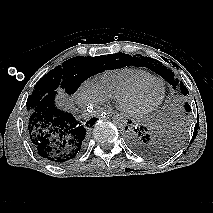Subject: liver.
<instances>
[{
  "mask_svg": "<svg viewBox=\"0 0 213 213\" xmlns=\"http://www.w3.org/2000/svg\"><path fill=\"white\" fill-rule=\"evenodd\" d=\"M64 103H65V100H63V101L60 102V104H64ZM66 103H67V102H66Z\"/></svg>",
  "mask_w": 213,
  "mask_h": 213,
  "instance_id": "obj_1",
  "label": "liver"
}]
</instances>
